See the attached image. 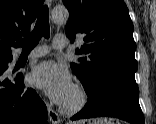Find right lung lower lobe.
I'll return each mask as SVG.
<instances>
[{"instance_id": "1", "label": "right lung lower lobe", "mask_w": 156, "mask_h": 124, "mask_svg": "<svg viewBox=\"0 0 156 124\" xmlns=\"http://www.w3.org/2000/svg\"><path fill=\"white\" fill-rule=\"evenodd\" d=\"M12 57L0 59V124H47V108L22 74L4 77Z\"/></svg>"}]
</instances>
